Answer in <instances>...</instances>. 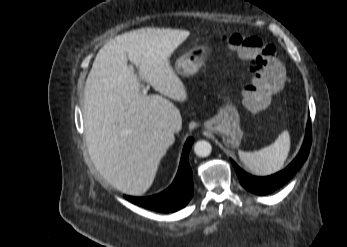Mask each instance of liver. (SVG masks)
<instances>
[{"label": "liver", "mask_w": 347, "mask_h": 247, "mask_svg": "<svg viewBox=\"0 0 347 247\" xmlns=\"http://www.w3.org/2000/svg\"><path fill=\"white\" fill-rule=\"evenodd\" d=\"M189 34L169 28L130 31L106 43L93 62L84 88L86 145L99 173L123 193L138 196L150 188L174 133L182 128L170 100L143 95L140 89L145 80L172 100H187L169 57Z\"/></svg>", "instance_id": "liver-1"}]
</instances>
